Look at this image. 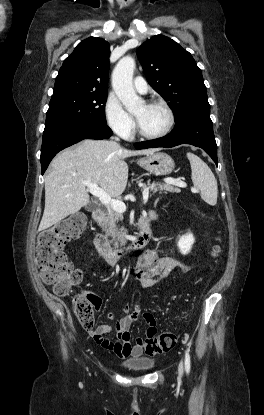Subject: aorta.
Here are the masks:
<instances>
[{
	"label": "aorta",
	"mask_w": 264,
	"mask_h": 415,
	"mask_svg": "<svg viewBox=\"0 0 264 415\" xmlns=\"http://www.w3.org/2000/svg\"><path fill=\"white\" fill-rule=\"evenodd\" d=\"M134 69L135 60L128 55L118 61L112 73L113 89L129 112L136 111L143 104L133 88Z\"/></svg>",
	"instance_id": "762f6f07"
}]
</instances>
